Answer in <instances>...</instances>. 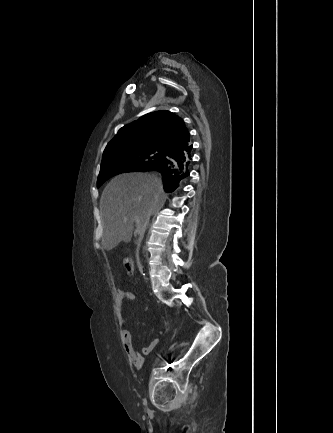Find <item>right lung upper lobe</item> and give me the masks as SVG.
<instances>
[{
  "label": "right lung upper lobe",
  "instance_id": "1",
  "mask_svg": "<svg viewBox=\"0 0 333 433\" xmlns=\"http://www.w3.org/2000/svg\"><path fill=\"white\" fill-rule=\"evenodd\" d=\"M190 144L183 119L170 111L160 110L122 127L106 146L103 158L129 148H156L168 153Z\"/></svg>",
  "mask_w": 333,
  "mask_h": 433
}]
</instances>
